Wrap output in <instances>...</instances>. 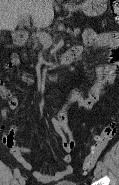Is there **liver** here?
Listing matches in <instances>:
<instances>
[{
	"label": "liver",
	"mask_w": 119,
	"mask_h": 185,
	"mask_svg": "<svg viewBox=\"0 0 119 185\" xmlns=\"http://www.w3.org/2000/svg\"><path fill=\"white\" fill-rule=\"evenodd\" d=\"M25 14L35 27H48L54 18L52 0H0V30L14 31Z\"/></svg>",
	"instance_id": "1"
}]
</instances>
